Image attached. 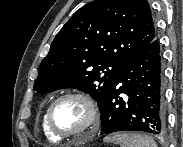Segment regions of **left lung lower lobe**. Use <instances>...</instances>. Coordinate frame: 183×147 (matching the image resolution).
<instances>
[{
  "label": "left lung lower lobe",
  "instance_id": "1",
  "mask_svg": "<svg viewBox=\"0 0 183 147\" xmlns=\"http://www.w3.org/2000/svg\"><path fill=\"white\" fill-rule=\"evenodd\" d=\"M100 112L101 134L142 131L161 135L165 132L163 73L157 38L125 64Z\"/></svg>",
  "mask_w": 183,
  "mask_h": 147
}]
</instances>
